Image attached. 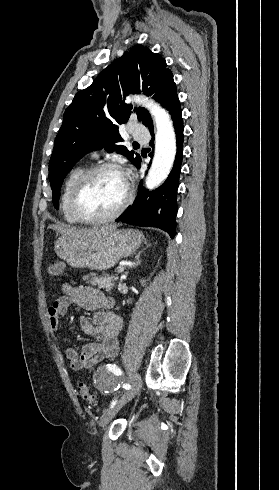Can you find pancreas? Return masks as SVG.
Instances as JSON below:
<instances>
[{"mask_svg":"<svg viewBox=\"0 0 279 490\" xmlns=\"http://www.w3.org/2000/svg\"><path fill=\"white\" fill-rule=\"evenodd\" d=\"M82 280H85L86 284H92V286H98V288H105V290H112L114 282L118 280V274L114 276H109V274H104V276H96V274H90V276H84Z\"/></svg>","mask_w":279,"mask_h":490,"instance_id":"pancreas-1","label":"pancreas"}]
</instances>
